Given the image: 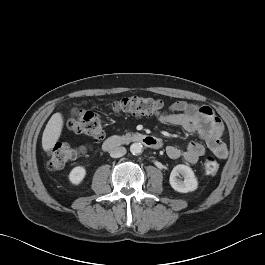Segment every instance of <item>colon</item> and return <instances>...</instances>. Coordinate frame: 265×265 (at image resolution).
<instances>
[{
    "label": "colon",
    "mask_w": 265,
    "mask_h": 265,
    "mask_svg": "<svg viewBox=\"0 0 265 265\" xmlns=\"http://www.w3.org/2000/svg\"><path fill=\"white\" fill-rule=\"evenodd\" d=\"M114 110L133 116L158 115L163 102L149 97H126L113 104ZM70 130L77 134L89 136L95 141L104 137V126L101 118L90 111H79L68 122ZM86 151L85 146H73L68 143H57L49 151L48 168L59 170ZM203 169L207 175H215L219 170V162L214 155H208L203 162Z\"/></svg>",
    "instance_id": "1"
}]
</instances>
